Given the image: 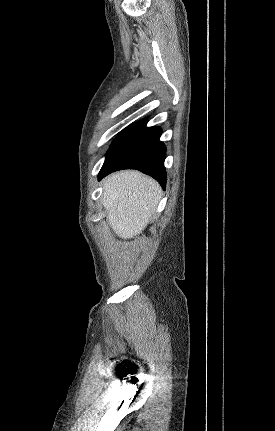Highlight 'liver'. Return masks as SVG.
<instances>
[{"instance_id":"6515ba94","label":"liver","mask_w":275,"mask_h":431,"mask_svg":"<svg viewBox=\"0 0 275 431\" xmlns=\"http://www.w3.org/2000/svg\"><path fill=\"white\" fill-rule=\"evenodd\" d=\"M161 187L138 171L113 173L103 181L102 203L112 230L123 239L142 233L155 212Z\"/></svg>"}]
</instances>
